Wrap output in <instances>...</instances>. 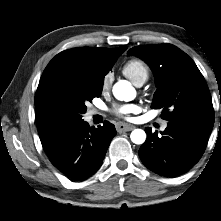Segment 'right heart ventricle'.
<instances>
[{
  "instance_id": "1",
  "label": "right heart ventricle",
  "mask_w": 221,
  "mask_h": 221,
  "mask_svg": "<svg viewBox=\"0 0 221 221\" xmlns=\"http://www.w3.org/2000/svg\"><path fill=\"white\" fill-rule=\"evenodd\" d=\"M122 71L134 84L145 82L149 77V67L137 59H132L125 63Z\"/></svg>"
}]
</instances>
